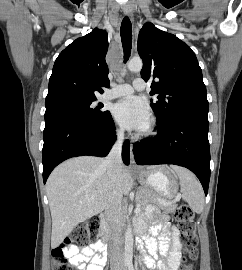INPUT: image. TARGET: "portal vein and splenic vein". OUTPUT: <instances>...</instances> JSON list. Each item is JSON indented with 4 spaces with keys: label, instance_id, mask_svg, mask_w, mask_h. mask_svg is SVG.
<instances>
[{
    "label": "portal vein and splenic vein",
    "instance_id": "1",
    "mask_svg": "<svg viewBox=\"0 0 242 270\" xmlns=\"http://www.w3.org/2000/svg\"><path fill=\"white\" fill-rule=\"evenodd\" d=\"M180 198H181V195L178 194V195L176 196V198H175L173 201H166V202H164V204H172V203H176L177 201L180 200ZM135 212H136V213L140 212V207H139V206H137V207L135 208Z\"/></svg>",
    "mask_w": 242,
    "mask_h": 270
}]
</instances>
